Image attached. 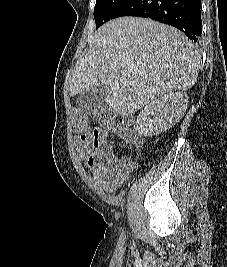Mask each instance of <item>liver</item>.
Instances as JSON below:
<instances>
[{
	"mask_svg": "<svg viewBox=\"0 0 227 267\" xmlns=\"http://www.w3.org/2000/svg\"><path fill=\"white\" fill-rule=\"evenodd\" d=\"M199 53L181 31L137 17L109 21L94 34L69 79L70 95L103 86L109 108L121 116L196 82Z\"/></svg>",
	"mask_w": 227,
	"mask_h": 267,
	"instance_id": "liver-1",
	"label": "liver"
}]
</instances>
